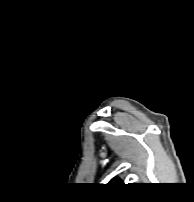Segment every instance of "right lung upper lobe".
I'll list each match as a JSON object with an SVG mask.
<instances>
[{
    "label": "right lung upper lobe",
    "instance_id": "cb5924a9",
    "mask_svg": "<svg viewBox=\"0 0 194 202\" xmlns=\"http://www.w3.org/2000/svg\"><path fill=\"white\" fill-rule=\"evenodd\" d=\"M111 183H122L119 179L112 180Z\"/></svg>",
    "mask_w": 194,
    "mask_h": 202
}]
</instances>
